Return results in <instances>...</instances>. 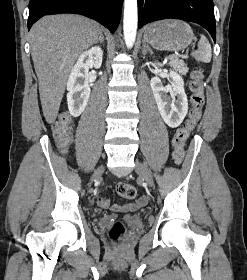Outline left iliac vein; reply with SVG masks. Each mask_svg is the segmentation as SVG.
Masks as SVG:
<instances>
[{"label": "left iliac vein", "instance_id": "obj_1", "mask_svg": "<svg viewBox=\"0 0 247 280\" xmlns=\"http://www.w3.org/2000/svg\"><path fill=\"white\" fill-rule=\"evenodd\" d=\"M136 172L137 174L149 185L152 186L153 185V178L151 173L149 172L148 168L146 167V165H144L143 163L137 161L136 162Z\"/></svg>", "mask_w": 247, "mask_h": 280}]
</instances>
